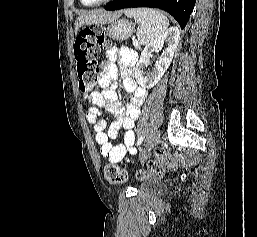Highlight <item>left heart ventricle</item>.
<instances>
[{
	"instance_id": "1",
	"label": "left heart ventricle",
	"mask_w": 257,
	"mask_h": 237,
	"mask_svg": "<svg viewBox=\"0 0 257 237\" xmlns=\"http://www.w3.org/2000/svg\"><path fill=\"white\" fill-rule=\"evenodd\" d=\"M84 1L87 2V3H94V2H98L100 0H84Z\"/></svg>"
}]
</instances>
